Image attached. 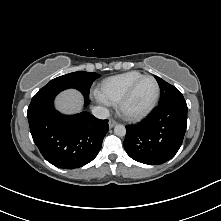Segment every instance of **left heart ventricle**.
<instances>
[{"label":"left heart ventricle","instance_id":"left-heart-ventricle-1","mask_svg":"<svg viewBox=\"0 0 221 221\" xmlns=\"http://www.w3.org/2000/svg\"><path fill=\"white\" fill-rule=\"evenodd\" d=\"M155 83L151 79L143 80L136 88L128 104L130 111L136 112L146 108L154 98Z\"/></svg>","mask_w":221,"mask_h":221}]
</instances>
